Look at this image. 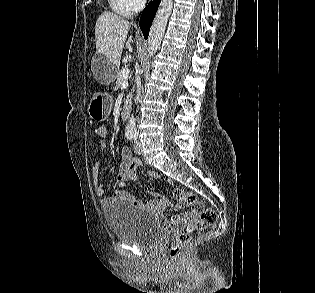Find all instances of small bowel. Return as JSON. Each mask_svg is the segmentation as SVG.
<instances>
[{"mask_svg": "<svg viewBox=\"0 0 315 293\" xmlns=\"http://www.w3.org/2000/svg\"><path fill=\"white\" fill-rule=\"evenodd\" d=\"M108 146V142L106 139H102L100 141V148L106 149ZM122 161L120 163V167L117 173L116 182L114 184V188L116 189V193L113 197H105L104 189L100 183L99 179V171L100 164L97 162L92 167V181L94 186V191L97 196L100 197V203L103 207L108 206L113 202H126L132 204L134 206H139L146 208L151 213H153L159 220H161L165 225L170 228H175V230H183L185 225L183 224L185 221L193 218V214L190 212H183L177 214L171 218H165L163 216V212L166 208L171 207L172 205L169 201L163 197L162 195L148 191L149 199L146 201L135 198L130 192L125 189L127 184L133 183L137 179L136 169L141 165V162L138 158H134L131 156L130 151L123 147L122 151ZM150 177H158V174L155 172H151L149 174ZM176 208H182L183 205L177 204Z\"/></svg>", "mask_w": 315, "mask_h": 293, "instance_id": "c3829d8e", "label": "small bowel"}]
</instances>
